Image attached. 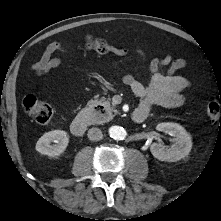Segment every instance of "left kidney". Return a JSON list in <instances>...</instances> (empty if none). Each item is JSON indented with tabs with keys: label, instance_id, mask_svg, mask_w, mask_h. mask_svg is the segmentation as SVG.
<instances>
[{
	"label": "left kidney",
	"instance_id": "left-kidney-1",
	"mask_svg": "<svg viewBox=\"0 0 221 221\" xmlns=\"http://www.w3.org/2000/svg\"><path fill=\"white\" fill-rule=\"evenodd\" d=\"M158 131L173 136L174 144L167 148L159 143L150 146L152 155L160 161L176 162L186 157L192 149V140L188 132L177 123L163 122L156 126Z\"/></svg>",
	"mask_w": 221,
	"mask_h": 221
}]
</instances>
